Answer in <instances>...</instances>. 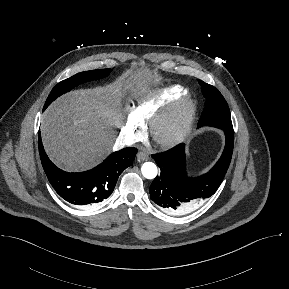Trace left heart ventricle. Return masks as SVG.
<instances>
[{
    "label": "left heart ventricle",
    "mask_w": 289,
    "mask_h": 289,
    "mask_svg": "<svg viewBox=\"0 0 289 289\" xmlns=\"http://www.w3.org/2000/svg\"><path fill=\"white\" fill-rule=\"evenodd\" d=\"M177 117L172 118L171 120H169L168 122H166L163 127H162V133L167 134L169 132H171L173 130V128L176 126L177 124Z\"/></svg>",
    "instance_id": "left-heart-ventricle-1"
}]
</instances>
